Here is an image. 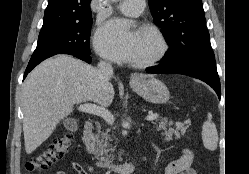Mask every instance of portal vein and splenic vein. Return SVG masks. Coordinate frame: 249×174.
<instances>
[{"mask_svg":"<svg viewBox=\"0 0 249 174\" xmlns=\"http://www.w3.org/2000/svg\"><path fill=\"white\" fill-rule=\"evenodd\" d=\"M78 110L84 113L93 114L102 117L107 123L113 124L114 123V117L111 114L110 111L105 109L104 107H100L95 104L91 103H85L78 107ZM159 117L158 114L155 113H149V115L146 116L147 121H153Z\"/></svg>","mask_w":249,"mask_h":174,"instance_id":"18ae733b","label":"portal vein and splenic vein"}]
</instances>
